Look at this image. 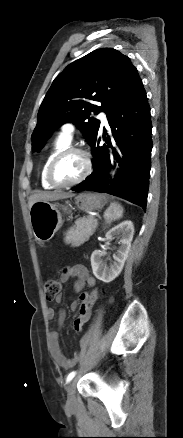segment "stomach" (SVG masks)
<instances>
[{
    "instance_id": "0dacf381",
    "label": "stomach",
    "mask_w": 183,
    "mask_h": 438,
    "mask_svg": "<svg viewBox=\"0 0 183 438\" xmlns=\"http://www.w3.org/2000/svg\"><path fill=\"white\" fill-rule=\"evenodd\" d=\"M75 204L81 210H96L104 205V198L99 194L82 193L75 198ZM59 207L67 212L66 206H59L49 201H37L29 208L31 228L39 242H48L62 226Z\"/></svg>"
}]
</instances>
